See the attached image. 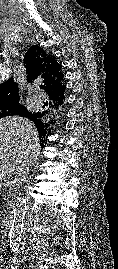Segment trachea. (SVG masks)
<instances>
[{"label":"trachea","instance_id":"trachea-1","mask_svg":"<svg viewBox=\"0 0 118 269\" xmlns=\"http://www.w3.org/2000/svg\"><path fill=\"white\" fill-rule=\"evenodd\" d=\"M44 87H45L44 85H40V88H41V89H44Z\"/></svg>","mask_w":118,"mask_h":269}]
</instances>
